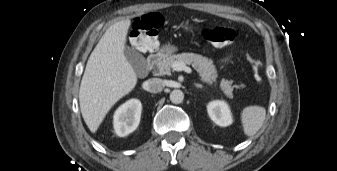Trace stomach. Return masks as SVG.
Returning <instances> with one entry per match:
<instances>
[{"label":"stomach","instance_id":"stomach-1","mask_svg":"<svg viewBox=\"0 0 337 171\" xmlns=\"http://www.w3.org/2000/svg\"><path fill=\"white\" fill-rule=\"evenodd\" d=\"M183 27H184L186 30H191V29L193 28V26H192L191 24H189L188 21L183 25ZM175 50H176V48L173 47V46L167 47V52H168V53H171V52H173V51H175Z\"/></svg>","mask_w":337,"mask_h":171}]
</instances>
